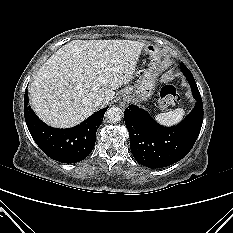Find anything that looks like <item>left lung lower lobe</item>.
<instances>
[{"instance_id":"obj_1","label":"left lung lower lobe","mask_w":233,"mask_h":233,"mask_svg":"<svg viewBox=\"0 0 233 233\" xmlns=\"http://www.w3.org/2000/svg\"><path fill=\"white\" fill-rule=\"evenodd\" d=\"M196 104L178 125L165 127L145 110L130 105L124 112L134 158L143 166L163 168L181 160L193 147L203 123V103L196 82L188 78Z\"/></svg>"}]
</instances>
